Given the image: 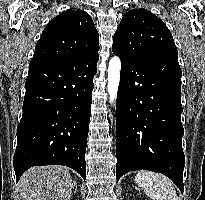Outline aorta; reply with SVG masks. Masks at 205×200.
<instances>
[{"instance_id": "obj_1", "label": "aorta", "mask_w": 205, "mask_h": 200, "mask_svg": "<svg viewBox=\"0 0 205 200\" xmlns=\"http://www.w3.org/2000/svg\"><path fill=\"white\" fill-rule=\"evenodd\" d=\"M121 61L119 57L114 56L110 59L108 65V93L110 103H115L120 83Z\"/></svg>"}]
</instances>
